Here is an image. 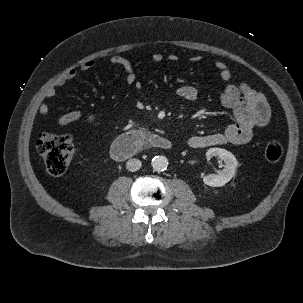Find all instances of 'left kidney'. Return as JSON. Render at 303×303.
<instances>
[{
    "mask_svg": "<svg viewBox=\"0 0 303 303\" xmlns=\"http://www.w3.org/2000/svg\"><path fill=\"white\" fill-rule=\"evenodd\" d=\"M212 156H217L224 161V169L217 173L204 176L203 182L211 187L224 186L232 179V177H234L238 162L231 152L222 148H210L206 152V157L209 159Z\"/></svg>",
    "mask_w": 303,
    "mask_h": 303,
    "instance_id": "1",
    "label": "left kidney"
}]
</instances>
